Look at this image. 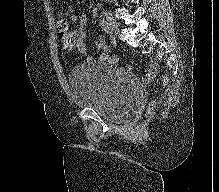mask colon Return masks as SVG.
Listing matches in <instances>:
<instances>
[{
    "label": "colon",
    "instance_id": "obj_1",
    "mask_svg": "<svg viewBox=\"0 0 219 192\" xmlns=\"http://www.w3.org/2000/svg\"><path fill=\"white\" fill-rule=\"evenodd\" d=\"M58 27L59 28H66L67 24H66L65 21H60L59 24H58ZM68 44H69V48H71V45H72L71 40L68 41ZM112 63L115 64V65H120L122 62L119 61V60H112ZM153 109H154V105L150 104L149 107H148V114H151L153 112Z\"/></svg>",
    "mask_w": 219,
    "mask_h": 192
}]
</instances>
